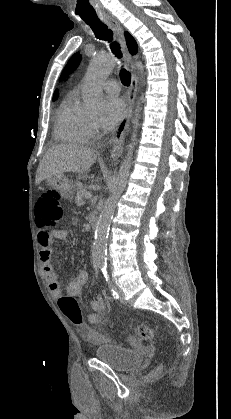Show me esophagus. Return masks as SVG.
Masks as SVG:
<instances>
[{
	"instance_id": "esophagus-1",
	"label": "esophagus",
	"mask_w": 231,
	"mask_h": 419,
	"mask_svg": "<svg viewBox=\"0 0 231 419\" xmlns=\"http://www.w3.org/2000/svg\"><path fill=\"white\" fill-rule=\"evenodd\" d=\"M105 22L116 33L124 51L126 65L131 72V83H130V88L128 91L126 114L124 118L121 120L118 127L116 128L111 139L109 140V144L111 145L110 157L112 159H116L123 152L125 136L127 134L130 119L133 113V107H134V102H135V97H136L137 87H138V78L135 72L133 57L129 53L126 46L123 27L120 25V23L116 19L110 16L105 17Z\"/></svg>"
}]
</instances>
